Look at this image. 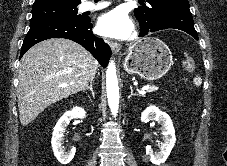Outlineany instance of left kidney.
I'll return each mask as SVG.
<instances>
[{
	"label": "left kidney",
	"instance_id": "obj_1",
	"mask_svg": "<svg viewBox=\"0 0 227 166\" xmlns=\"http://www.w3.org/2000/svg\"><path fill=\"white\" fill-rule=\"evenodd\" d=\"M151 120H155L162 126L161 131L163 135V143L161 144L160 152L158 153H154L151 146H146V154L149 155L150 161L153 164L161 165L167 160L175 145V130L169 115L162 112L154 105L147 107L141 114V121L143 123H147Z\"/></svg>",
	"mask_w": 227,
	"mask_h": 166
}]
</instances>
